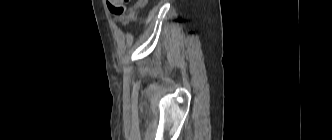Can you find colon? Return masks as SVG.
I'll list each match as a JSON object with an SVG mask.
<instances>
[{"label":"colon","instance_id":"5ec220e1","mask_svg":"<svg viewBox=\"0 0 332 140\" xmlns=\"http://www.w3.org/2000/svg\"><path fill=\"white\" fill-rule=\"evenodd\" d=\"M131 0H107V6L110 12L119 17L124 14L126 5L130 2ZM145 0H138L136 7L140 8L144 5Z\"/></svg>","mask_w":332,"mask_h":140}]
</instances>
